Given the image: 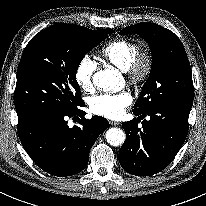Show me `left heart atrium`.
Here are the masks:
<instances>
[{
	"label": "left heart atrium",
	"instance_id": "left-heart-atrium-1",
	"mask_svg": "<svg viewBox=\"0 0 206 206\" xmlns=\"http://www.w3.org/2000/svg\"><path fill=\"white\" fill-rule=\"evenodd\" d=\"M132 95L127 91L119 93H105L93 97L90 100L92 113L108 119L120 118L125 109L132 103Z\"/></svg>",
	"mask_w": 206,
	"mask_h": 206
}]
</instances>
